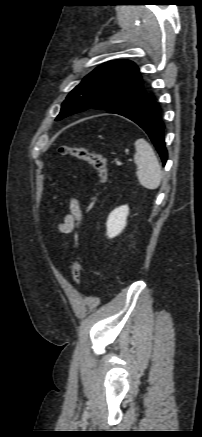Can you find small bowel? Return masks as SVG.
I'll return each instance as SVG.
<instances>
[{
	"mask_svg": "<svg viewBox=\"0 0 202 437\" xmlns=\"http://www.w3.org/2000/svg\"><path fill=\"white\" fill-rule=\"evenodd\" d=\"M83 219L82 210L77 199L72 198L69 202V213L58 224V230L63 234L74 232L80 227Z\"/></svg>",
	"mask_w": 202,
	"mask_h": 437,
	"instance_id": "1",
	"label": "small bowel"
}]
</instances>
